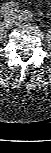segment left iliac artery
Returning a JSON list of instances; mask_svg holds the SVG:
<instances>
[{"label":"left iliac artery","mask_w":51,"mask_h":153,"mask_svg":"<svg viewBox=\"0 0 51 153\" xmlns=\"http://www.w3.org/2000/svg\"><path fill=\"white\" fill-rule=\"evenodd\" d=\"M21 16H22V19L23 20H32V13L30 12V11H28V10H24V11H22L21 12Z\"/></svg>","instance_id":"44dca946"}]
</instances>
